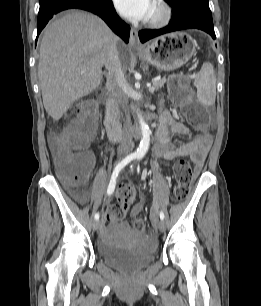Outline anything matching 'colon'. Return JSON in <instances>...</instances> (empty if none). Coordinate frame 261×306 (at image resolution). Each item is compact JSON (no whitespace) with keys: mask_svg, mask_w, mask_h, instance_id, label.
<instances>
[{"mask_svg":"<svg viewBox=\"0 0 261 306\" xmlns=\"http://www.w3.org/2000/svg\"><path fill=\"white\" fill-rule=\"evenodd\" d=\"M190 87L179 78L170 83V96L174 103L182 105L188 122L198 128L208 125V116L191 101ZM98 122L97 107L94 103L80 101L73 110V118L69 126L59 137L60 176L70 186L83 184L89 175V159L83 150L94 138ZM174 178L176 181L175 196L185 199L190 192L194 173L191 164L186 159H179L174 164ZM135 197V190L129 184H122L119 188L118 201L106 210V218L110 222H117L125 218ZM134 229L147 237L154 234V228L142 219L133 222Z\"/></svg>","mask_w":261,"mask_h":306,"instance_id":"5ec220e1","label":"colon"}]
</instances>
